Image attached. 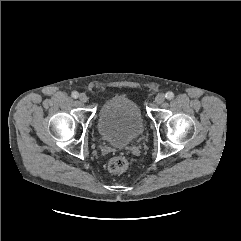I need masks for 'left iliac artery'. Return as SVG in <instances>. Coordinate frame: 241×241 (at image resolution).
<instances>
[{
    "instance_id": "left-iliac-artery-1",
    "label": "left iliac artery",
    "mask_w": 241,
    "mask_h": 241,
    "mask_svg": "<svg viewBox=\"0 0 241 241\" xmlns=\"http://www.w3.org/2000/svg\"><path fill=\"white\" fill-rule=\"evenodd\" d=\"M165 97L168 99V100H171L174 98V93L169 91L165 94Z\"/></svg>"
}]
</instances>
